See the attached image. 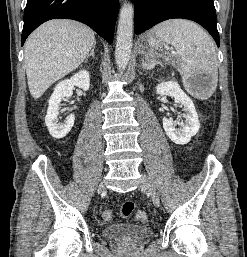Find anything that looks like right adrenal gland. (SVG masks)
Here are the masks:
<instances>
[{"label": "right adrenal gland", "instance_id": "obj_1", "mask_svg": "<svg viewBox=\"0 0 247 257\" xmlns=\"http://www.w3.org/2000/svg\"><path fill=\"white\" fill-rule=\"evenodd\" d=\"M95 46H96V42L94 43L91 52H90V53L87 55V57L85 58V60H84L85 63L88 62V59H89L91 56H92L93 58L95 57V54H94Z\"/></svg>", "mask_w": 247, "mask_h": 257}]
</instances>
